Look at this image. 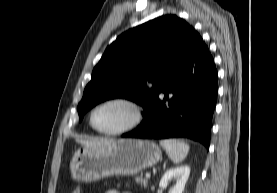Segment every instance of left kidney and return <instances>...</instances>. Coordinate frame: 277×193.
I'll return each instance as SVG.
<instances>
[{
    "label": "left kidney",
    "mask_w": 277,
    "mask_h": 193,
    "mask_svg": "<svg viewBox=\"0 0 277 193\" xmlns=\"http://www.w3.org/2000/svg\"><path fill=\"white\" fill-rule=\"evenodd\" d=\"M189 175L190 167L188 165H181L171 168L164 173L160 180L159 186L161 188H166L169 181L175 180L176 183L169 193H183Z\"/></svg>",
    "instance_id": "left-kidney-1"
}]
</instances>
